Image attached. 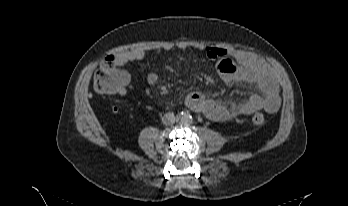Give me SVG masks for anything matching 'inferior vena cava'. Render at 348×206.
<instances>
[{"mask_svg":"<svg viewBox=\"0 0 348 206\" xmlns=\"http://www.w3.org/2000/svg\"><path fill=\"white\" fill-rule=\"evenodd\" d=\"M176 117L174 115V113L172 112H168L166 114H164V116L162 117V122L165 125H171L175 122Z\"/></svg>","mask_w":348,"mask_h":206,"instance_id":"obj_1","label":"inferior vena cava"}]
</instances>
